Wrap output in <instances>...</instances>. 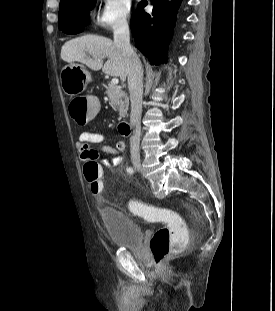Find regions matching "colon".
<instances>
[{
  "mask_svg": "<svg viewBox=\"0 0 275 311\" xmlns=\"http://www.w3.org/2000/svg\"><path fill=\"white\" fill-rule=\"evenodd\" d=\"M99 97L75 98L70 103L73 117L78 125H91L99 117L101 107ZM85 177L90 190L97 195L102 190L101 168L94 160L85 167ZM132 210L147 219L159 220L164 226L159 228L150 240V250L155 263L160 266L172 253L181 251L187 244V232L182 218L171 209L152 208L145 204H135Z\"/></svg>",
  "mask_w": 275,
  "mask_h": 311,
  "instance_id": "5ec220e1",
  "label": "colon"
}]
</instances>
